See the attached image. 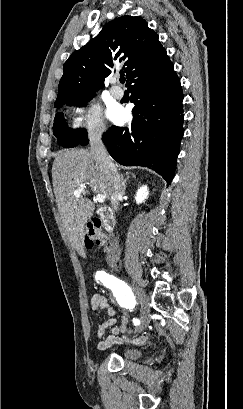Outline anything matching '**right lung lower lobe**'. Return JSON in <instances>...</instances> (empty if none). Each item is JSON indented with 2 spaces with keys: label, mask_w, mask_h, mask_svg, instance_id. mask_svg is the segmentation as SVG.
Wrapping results in <instances>:
<instances>
[{
  "label": "right lung lower lobe",
  "mask_w": 243,
  "mask_h": 409,
  "mask_svg": "<svg viewBox=\"0 0 243 409\" xmlns=\"http://www.w3.org/2000/svg\"><path fill=\"white\" fill-rule=\"evenodd\" d=\"M171 66L129 87L133 122L129 128L112 126L103 135L110 155L125 166H146L169 185L183 137V93ZM85 139L80 145H87Z\"/></svg>",
  "instance_id": "1"
}]
</instances>
